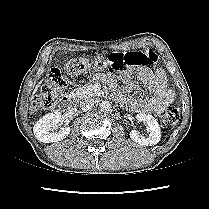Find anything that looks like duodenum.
<instances>
[{"label":"duodenum","mask_w":209,"mask_h":209,"mask_svg":"<svg viewBox=\"0 0 209 209\" xmlns=\"http://www.w3.org/2000/svg\"><path fill=\"white\" fill-rule=\"evenodd\" d=\"M76 96L74 94H68L63 98V104L69 108L74 106Z\"/></svg>","instance_id":"410a0bca"}]
</instances>
